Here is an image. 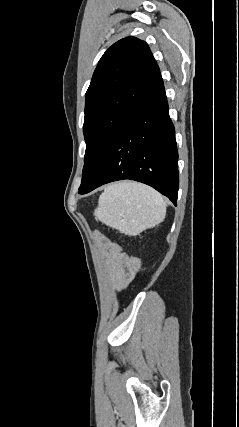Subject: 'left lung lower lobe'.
Returning <instances> with one entry per match:
<instances>
[{
  "label": "left lung lower lobe",
  "mask_w": 239,
  "mask_h": 427,
  "mask_svg": "<svg viewBox=\"0 0 239 427\" xmlns=\"http://www.w3.org/2000/svg\"><path fill=\"white\" fill-rule=\"evenodd\" d=\"M175 129L164 86L140 106L117 132L91 182L80 194L103 184L131 179L177 202L179 175Z\"/></svg>",
  "instance_id": "obj_1"
}]
</instances>
